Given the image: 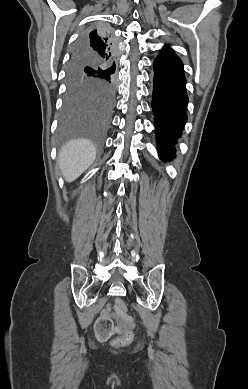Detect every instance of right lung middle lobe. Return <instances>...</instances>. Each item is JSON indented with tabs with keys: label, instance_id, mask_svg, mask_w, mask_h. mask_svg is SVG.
I'll return each instance as SVG.
<instances>
[{
	"label": "right lung middle lobe",
	"instance_id": "obj_1",
	"mask_svg": "<svg viewBox=\"0 0 248 389\" xmlns=\"http://www.w3.org/2000/svg\"><path fill=\"white\" fill-rule=\"evenodd\" d=\"M115 69L111 63L94 58L76 46L67 70L68 90L59 142L87 137L98 147L103 144V132L115 101Z\"/></svg>",
	"mask_w": 248,
	"mask_h": 389
}]
</instances>
